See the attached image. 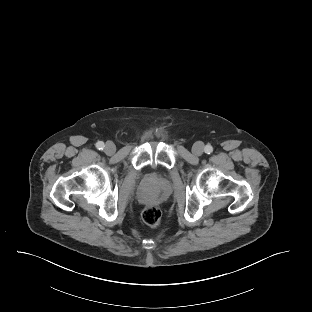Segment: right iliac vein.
Listing matches in <instances>:
<instances>
[{
    "label": "right iliac vein",
    "instance_id": "1",
    "mask_svg": "<svg viewBox=\"0 0 312 312\" xmlns=\"http://www.w3.org/2000/svg\"><path fill=\"white\" fill-rule=\"evenodd\" d=\"M104 151L106 154L111 155L116 151V147L113 142H107Z\"/></svg>",
    "mask_w": 312,
    "mask_h": 312
}]
</instances>
